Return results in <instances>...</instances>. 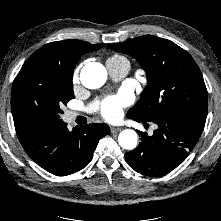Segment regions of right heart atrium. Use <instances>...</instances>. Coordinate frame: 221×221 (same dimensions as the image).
Masks as SVG:
<instances>
[{
  "label": "right heart atrium",
  "instance_id": "1",
  "mask_svg": "<svg viewBox=\"0 0 221 221\" xmlns=\"http://www.w3.org/2000/svg\"><path fill=\"white\" fill-rule=\"evenodd\" d=\"M79 80V68H76L73 73V82L77 83Z\"/></svg>",
  "mask_w": 221,
  "mask_h": 221
}]
</instances>
